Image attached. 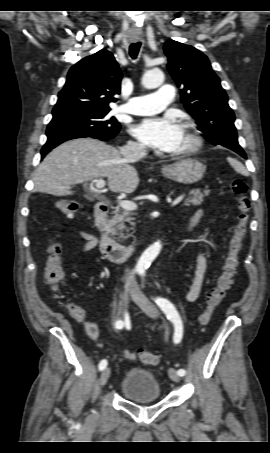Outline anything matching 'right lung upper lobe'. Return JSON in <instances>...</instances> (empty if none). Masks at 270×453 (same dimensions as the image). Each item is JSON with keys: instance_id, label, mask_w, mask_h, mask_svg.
<instances>
[{"instance_id": "cb5924a9", "label": "right lung upper lobe", "mask_w": 270, "mask_h": 453, "mask_svg": "<svg viewBox=\"0 0 270 453\" xmlns=\"http://www.w3.org/2000/svg\"><path fill=\"white\" fill-rule=\"evenodd\" d=\"M122 73L114 56L102 49L76 63L53 108V118L87 111L110 110L120 93Z\"/></svg>"}]
</instances>
